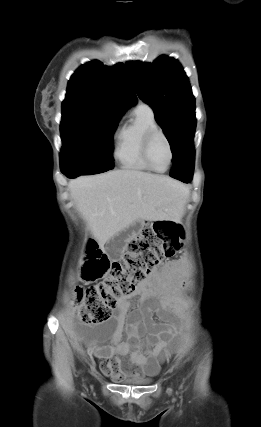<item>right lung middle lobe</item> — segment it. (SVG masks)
<instances>
[{
  "label": "right lung middle lobe",
  "mask_w": 261,
  "mask_h": 427,
  "mask_svg": "<svg viewBox=\"0 0 261 427\" xmlns=\"http://www.w3.org/2000/svg\"><path fill=\"white\" fill-rule=\"evenodd\" d=\"M119 119L93 111L62 112V173L96 174L112 169V139Z\"/></svg>",
  "instance_id": "right-lung-middle-lobe-1"
}]
</instances>
